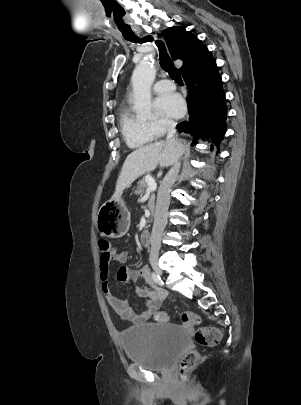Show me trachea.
Here are the masks:
<instances>
[{"label":"trachea","instance_id":"3493384b","mask_svg":"<svg viewBox=\"0 0 301 405\" xmlns=\"http://www.w3.org/2000/svg\"><path fill=\"white\" fill-rule=\"evenodd\" d=\"M128 41L134 42V43H145V42H152L154 41L156 46L158 47L159 50V56H160V63L162 68L168 72L170 77L180 85H183V81L181 78V75L179 71L173 66V62L167 52L166 46L163 41L161 40H154L152 36H145L143 38H139L137 36L133 37H127L125 38Z\"/></svg>","mask_w":301,"mask_h":405}]
</instances>
